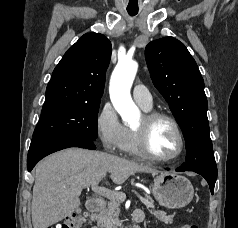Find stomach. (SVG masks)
I'll return each mask as SVG.
<instances>
[{
    "label": "stomach",
    "mask_w": 238,
    "mask_h": 228,
    "mask_svg": "<svg viewBox=\"0 0 238 228\" xmlns=\"http://www.w3.org/2000/svg\"><path fill=\"white\" fill-rule=\"evenodd\" d=\"M152 193L161 206L175 209L191 202L194 189L186 177L162 171L154 179Z\"/></svg>",
    "instance_id": "1"
}]
</instances>
